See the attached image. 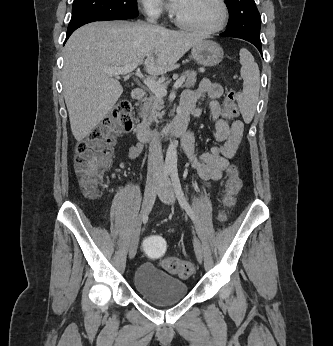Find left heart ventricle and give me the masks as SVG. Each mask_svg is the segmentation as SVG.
<instances>
[{"instance_id":"obj_1","label":"left heart ventricle","mask_w":333,"mask_h":346,"mask_svg":"<svg viewBox=\"0 0 333 346\" xmlns=\"http://www.w3.org/2000/svg\"><path fill=\"white\" fill-rule=\"evenodd\" d=\"M183 20L201 28L218 24L221 8L216 0H184L176 12Z\"/></svg>"}]
</instances>
